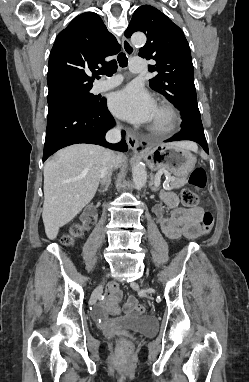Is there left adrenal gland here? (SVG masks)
Masks as SVG:
<instances>
[{"label":"left adrenal gland","mask_w":249,"mask_h":382,"mask_svg":"<svg viewBox=\"0 0 249 382\" xmlns=\"http://www.w3.org/2000/svg\"><path fill=\"white\" fill-rule=\"evenodd\" d=\"M149 187L152 191H157L159 188L154 186V177L153 175H151V179H150V182H149Z\"/></svg>","instance_id":"left-adrenal-gland-1"}]
</instances>
